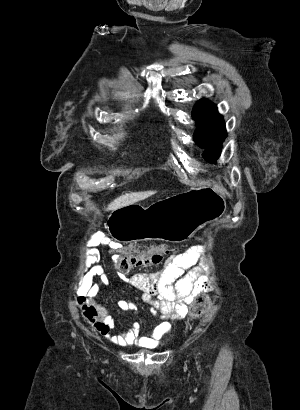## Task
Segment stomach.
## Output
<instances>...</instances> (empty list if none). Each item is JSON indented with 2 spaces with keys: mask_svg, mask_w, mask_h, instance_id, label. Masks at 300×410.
Here are the masks:
<instances>
[{
  "mask_svg": "<svg viewBox=\"0 0 300 410\" xmlns=\"http://www.w3.org/2000/svg\"><path fill=\"white\" fill-rule=\"evenodd\" d=\"M225 211L223 194L213 188L197 187L149 207L130 204L115 209L108 216L107 228L119 242L162 240L179 243L222 217Z\"/></svg>",
  "mask_w": 300,
  "mask_h": 410,
  "instance_id": "obj_1",
  "label": "stomach"
}]
</instances>
